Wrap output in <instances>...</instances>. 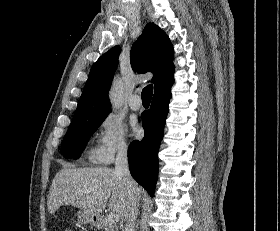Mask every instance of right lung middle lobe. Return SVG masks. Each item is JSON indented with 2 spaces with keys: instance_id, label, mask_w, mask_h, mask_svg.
<instances>
[{
  "instance_id": "obj_1",
  "label": "right lung middle lobe",
  "mask_w": 280,
  "mask_h": 231,
  "mask_svg": "<svg viewBox=\"0 0 280 231\" xmlns=\"http://www.w3.org/2000/svg\"><path fill=\"white\" fill-rule=\"evenodd\" d=\"M104 119L84 121L70 125L62 141L61 154L65 158L78 159L89 138Z\"/></svg>"
}]
</instances>
